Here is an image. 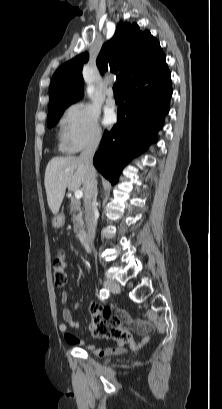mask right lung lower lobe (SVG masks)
Returning <instances> with one entry per match:
<instances>
[{
    "mask_svg": "<svg viewBox=\"0 0 222 409\" xmlns=\"http://www.w3.org/2000/svg\"><path fill=\"white\" fill-rule=\"evenodd\" d=\"M172 96L169 69L152 77L135 80L121 93L117 124L105 131L93 163L112 185L118 182L122 169L150 143L164 124Z\"/></svg>",
    "mask_w": 222,
    "mask_h": 409,
    "instance_id": "right-lung-lower-lobe-1",
    "label": "right lung lower lobe"
}]
</instances>
